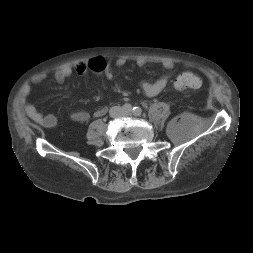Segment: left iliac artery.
<instances>
[{
	"instance_id": "obj_1",
	"label": "left iliac artery",
	"mask_w": 253,
	"mask_h": 253,
	"mask_svg": "<svg viewBox=\"0 0 253 253\" xmlns=\"http://www.w3.org/2000/svg\"><path fill=\"white\" fill-rule=\"evenodd\" d=\"M141 113H142V109H141L140 107H134V108H133V114H134L135 116H140Z\"/></svg>"
}]
</instances>
